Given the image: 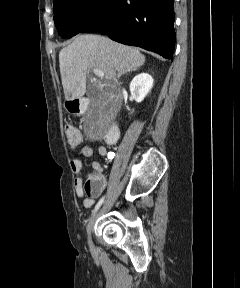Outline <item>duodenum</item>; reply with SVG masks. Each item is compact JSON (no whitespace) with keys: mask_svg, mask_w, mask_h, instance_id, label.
I'll use <instances>...</instances> for the list:
<instances>
[{"mask_svg":"<svg viewBox=\"0 0 240 288\" xmlns=\"http://www.w3.org/2000/svg\"><path fill=\"white\" fill-rule=\"evenodd\" d=\"M78 112L86 109L85 102H78L77 103ZM119 135V131L116 125H112L108 130L107 134L105 135V140L109 144H113L116 142Z\"/></svg>","mask_w":240,"mask_h":288,"instance_id":"410a0bca","label":"duodenum"}]
</instances>
